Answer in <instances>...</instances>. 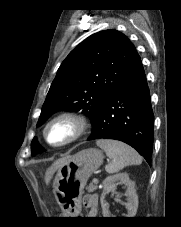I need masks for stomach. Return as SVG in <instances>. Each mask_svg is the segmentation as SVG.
<instances>
[{"label": "stomach", "mask_w": 181, "mask_h": 227, "mask_svg": "<svg viewBox=\"0 0 181 227\" xmlns=\"http://www.w3.org/2000/svg\"><path fill=\"white\" fill-rule=\"evenodd\" d=\"M103 159L102 151L89 148L71 156L69 161L57 170L52 184L53 194L65 215L79 213L87 180L102 165Z\"/></svg>", "instance_id": "1"}]
</instances>
